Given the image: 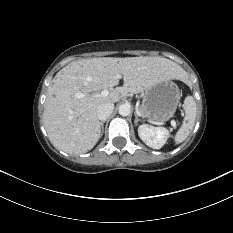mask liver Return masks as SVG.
Listing matches in <instances>:
<instances>
[{
	"mask_svg": "<svg viewBox=\"0 0 233 233\" xmlns=\"http://www.w3.org/2000/svg\"><path fill=\"white\" fill-rule=\"evenodd\" d=\"M123 76V86L119 77ZM185 71L162 57H100L74 61L61 69L47 90L43 122L49 139L59 150L82 154L91 150L101 136L97 109L115 103L128 93H141L171 79L181 80ZM112 89L108 96L101 90ZM82 93V98H76Z\"/></svg>",
	"mask_w": 233,
	"mask_h": 233,
	"instance_id": "obj_1",
	"label": "liver"
}]
</instances>
